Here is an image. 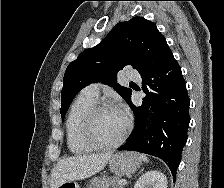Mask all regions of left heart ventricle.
I'll return each instance as SVG.
<instances>
[{
    "label": "left heart ventricle",
    "instance_id": "b2bd125f",
    "mask_svg": "<svg viewBox=\"0 0 224 188\" xmlns=\"http://www.w3.org/2000/svg\"><path fill=\"white\" fill-rule=\"evenodd\" d=\"M126 121L115 110L101 112L95 121L94 132L96 137L105 143L113 142L122 134Z\"/></svg>",
    "mask_w": 224,
    "mask_h": 188
}]
</instances>
